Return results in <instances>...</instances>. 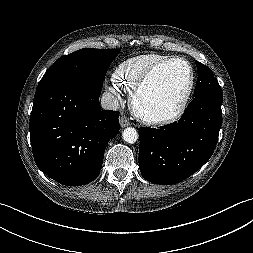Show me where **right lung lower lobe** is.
<instances>
[{
    "label": "right lung lower lobe",
    "mask_w": 253,
    "mask_h": 253,
    "mask_svg": "<svg viewBox=\"0 0 253 253\" xmlns=\"http://www.w3.org/2000/svg\"><path fill=\"white\" fill-rule=\"evenodd\" d=\"M103 82L59 78L39 84L30 117L38 168L67 186L99 175L105 148L119 132V112L101 110Z\"/></svg>",
    "instance_id": "obj_1"
}]
</instances>
